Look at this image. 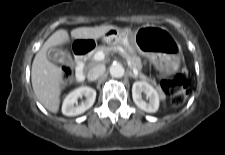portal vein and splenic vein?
I'll use <instances>...</instances> for the list:
<instances>
[{"mask_svg": "<svg viewBox=\"0 0 225 155\" xmlns=\"http://www.w3.org/2000/svg\"><path fill=\"white\" fill-rule=\"evenodd\" d=\"M93 58H94V60H96V61H102V60H104V58H105V53L102 52V51H98V52H96V53L94 54ZM132 69H133V73H134L135 75H138V70H137L136 68H132Z\"/></svg>", "mask_w": 225, "mask_h": 155, "instance_id": "18ae733b", "label": "portal vein and splenic vein"}]
</instances>
